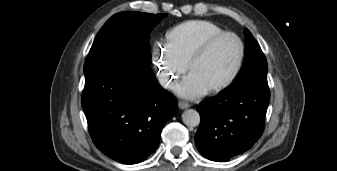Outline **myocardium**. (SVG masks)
<instances>
[{
    "mask_svg": "<svg viewBox=\"0 0 337 171\" xmlns=\"http://www.w3.org/2000/svg\"><path fill=\"white\" fill-rule=\"evenodd\" d=\"M226 37H231L234 38L239 46V56H238V60L236 62L235 67L233 68L232 72L230 73V75L222 82L212 86L209 88V91L211 92H218L221 90H224L226 88H228L229 86H231L235 80L238 78L242 68H243V64H244V60H245V55H246V47H245V43L242 40V38L234 33V32H230V31H224L222 33H219L217 35H214L210 38H208L207 40H205L204 42H202L197 49L194 51V53L192 54V56L190 57L187 66H188V70L191 71L192 66L194 65L195 62H197L199 59H201L211 48L214 44H216L218 41H220L223 38Z\"/></svg>",
    "mask_w": 337,
    "mask_h": 171,
    "instance_id": "1",
    "label": "myocardium"
}]
</instances>
